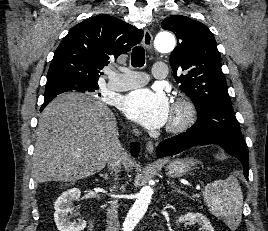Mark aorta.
Listing matches in <instances>:
<instances>
[{
  "label": "aorta",
  "instance_id": "obj_1",
  "mask_svg": "<svg viewBox=\"0 0 268 231\" xmlns=\"http://www.w3.org/2000/svg\"><path fill=\"white\" fill-rule=\"evenodd\" d=\"M176 45L175 37L166 32L159 33L155 38V47L161 53H167L174 49ZM153 189L150 186H144L136 195V201L127 213L123 223V231H133L137 223L145 214L149 203L151 202Z\"/></svg>",
  "mask_w": 268,
  "mask_h": 231
}]
</instances>
